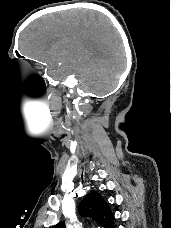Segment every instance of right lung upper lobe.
<instances>
[{"instance_id": "1", "label": "right lung upper lobe", "mask_w": 171, "mask_h": 228, "mask_svg": "<svg viewBox=\"0 0 171 228\" xmlns=\"http://www.w3.org/2000/svg\"><path fill=\"white\" fill-rule=\"evenodd\" d=\"M79 212L82 216L92 217L103 228H114V216L108 204L102 199L101 195L95 191L90 192L81 201ZM52 228H65V226L63 222H60Z\"/></svg>"}]
</instances>
